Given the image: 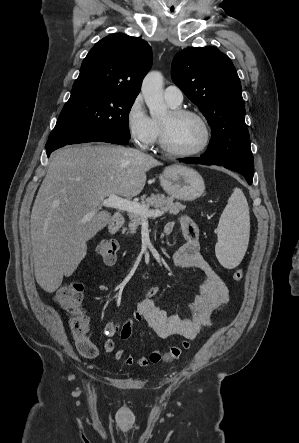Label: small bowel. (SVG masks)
<instances>
[{
    "label": "small bowel",
    "instance_id": "1",
    "mask_svg": "<svg viewBox=\"0 0 299 443\" xmlns=\"http://www.w3.org/2000/svg\"><path fill=\"white\" fill-rule=\"evenodd\" d=\"M179 225L184 241L173 254V261L181 268L198 269L204 278L199 294L189 304L186 313L173 314L160 308L154 299L158 288L150 287L146 290L137 309L125 321L123 317H120L116 321H109L105 324L104 334L107 338L103 343L100 345L93 343L87 333L77 336L76 347L81 356L92 359L102 353H108L112 354L115 360L122 361L126 365L136 362L141 367L158 363L162 359L158 350H153L148 356L135 360L131 354H126L123 350L116 348L117 337L120 340H127L131 335L133 324L145 321L161 338H182L179 344L172 346L169 350L170 358L178 359L182 350L190 348V341L195 339L203 328L211 324L213 314L228 303V287L200 252L196 225L187 216L179 218ZM174 229L175 223L170 222L165 226V233L171 235ZM87 316L91 320V315Z\"/></svg>",
    "mask_w": 299,
    "mask_h": 443
}]
</instances>
